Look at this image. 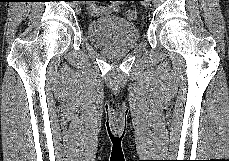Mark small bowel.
Returning <instances> with one entry per match:
<instances>
[{
  "mask_svg": "<svg viewBox=\"0 0 229 161\" xmlns=\"http://www.w3.org/2000/svg\"><path fill=\"white\" fill-rule=\"evenodd\" d=\"M119 9V4H111L104 7L92 8V11L95 13L99 12H116Z\"/></svg>",
  "mask_w": 229,
  "mask_h": 161,
  "instance_id": "small-bowel-1",
  "label": "small bowel"
}]
</instances>
